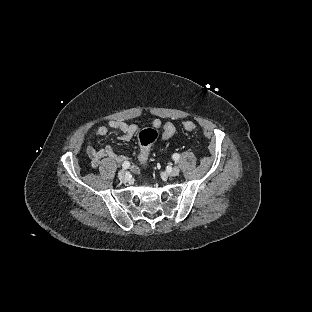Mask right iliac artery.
<instances>
[{"instance_id": "1", "label": "right iliac artery", "mask_w": 312, "mask_h": 312, "mask_svg": "<svg viewBox=\"0 0 312 312\" xmlns=\"http://www.w3.org/2000/svg\"><path fill=\"white\" fill-rule=\"evenodd\" d=\"M129 166H130V163H129L128 161H124V162L122 163V168H123L124 170L128 169Z\"/></svg>"}]
</instances>
